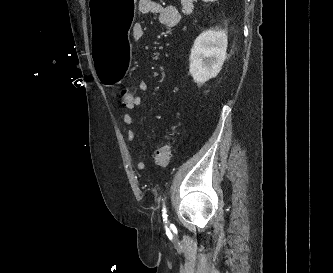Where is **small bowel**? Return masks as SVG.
<instances>
[{"label":"small bowel","instance_id":"obj_1","mask_svg":"<svg viewBox=\"0 0 333 273\" xmlns=\"http://www.w3.org/2000/svg\"><path fill=\"white\" fill-rule=\"evenodd\" d=\"M138 11L143 15H155L158 18V23L164 28H173L180 24L182 20L181 13L174 6H163L155 0H139L138 1ZM145 30L142 23L137 22L132 28V37L135 41H141L144 37ZM148 84L146 81H141L139 83V90L142 94L148 91ZM126 94H134L127 91ZM135 95V94H134ZM143 104V97L141 95H135V108L141 107ZM134 109H124L123 112V123L125 125L127 140L132 141L135 137L134 132V117L131 112ZM147 116L142 118V121H147ZM135 167L138 171H143L146 168V164L142 160H137Z\"/></svg>","mask_w":333,"mask_h":273}]
</instances>
